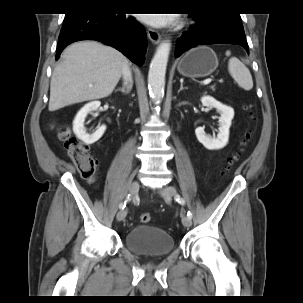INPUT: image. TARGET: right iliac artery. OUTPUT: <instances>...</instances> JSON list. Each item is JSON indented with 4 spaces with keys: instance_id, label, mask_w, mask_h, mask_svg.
Returning <instances> with one entry per match:
<instances>
[{
    "instance_id": "1",
    "label": "right iliac artery",
    "mask_w": 303,
    "mask_h": 303,
    "mask_svg": "<svg viewBox=\"0 0 303 303\" xmlns=\"http://www.w3.org/2000/svg\"><path fill=\"white\" fill-rule=\"evenodd\" d=\"M130 200H131V196L128 194V196L126 197V200H125L124 202L120 203L119 208H120L121 210H123V209L125 208V206H126V203H127L128 201H130Z\"/></svg>"
}]
</instances>
